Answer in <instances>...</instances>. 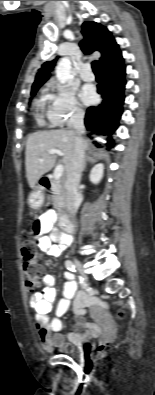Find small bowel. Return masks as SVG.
I'll return each mask as SVG.
<instances>
[{"mask_svg":"<svg viewBox=\"0 0 155 395\" xmlns=\"http://www.w3.org/2000/svg\"><path fill=\"white\" fill-rule=\"evenodd\" d=\"M55 219V212L50 210L42 214L33 226L37 247L51 256H59L72 243L70 236L64 235L53 228ZM47 233H50V236L46 235ZM65 278L63 298L57 300L55 279L50 274H45L42 277L43 288H35L34 294L30 297V306L35 311V330L46 350L63 347L66 338L75 345L82 344L88 338L96 336L100 332L98 324L84 323L81 318L84 316L87 307H92L94 312L100 315L104 304L97 298L90 297L83 292L77 293V284L71 273H66ZM54 303L55 317L50 318L48 314ZM70 306H72L74 315L78 319L76 331L69 333L67 337L61 334L52 335V333H58L62 330L61 317L65 315ZM81 329H85L86 332H80Z\"/></svg>","mask_w":155,"mask_h":395,"instance_id":"c3829d8e","label":"small bowel"}]
</instances>
